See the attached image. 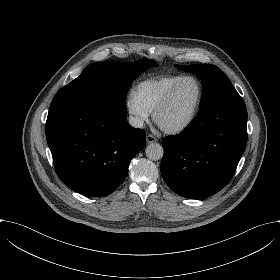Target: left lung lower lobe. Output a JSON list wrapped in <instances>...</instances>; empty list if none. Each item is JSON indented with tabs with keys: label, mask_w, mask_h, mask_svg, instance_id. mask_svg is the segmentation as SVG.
Returning <instances> with one entry per match:
<instances>
[{
	"label": "left lung lower lobe",
	"mask_w": 280,
	"mask_h": 280,
	"mask_svg": "<svg viewBox=\"0 0 280 280\" xmlns=\"http://www.w3.org/2000/svg\"><path fill=\"white\" fill-rule=\"evenodd\" d=\"M246 143L244 100H221L199 111L183 132L163 139V179L180 196L207 198L231 180Z\"/></svg>",
	"instance_id": "left-lung-lower-lobe-1"
}]
</instances>
